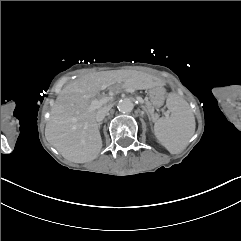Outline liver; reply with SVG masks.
Wrapping results in <instances>:
<instances>
[{"label": "liver", "instance_id": "1", "mask_svg": "<svg viewBox=\"0 0 241 241\" xmlns=\"http://www.w3.org/2000/svg\"><path fill=\"white\" fill-rule=\"evenodd\" d=\"M128 74L130 72H95L84 75L63 88L52 107L45 137L65 159L74 163H86L96 159L102 148L96 113L104 107L92 109L91 102L100 90L109 86L111 89L120 87ZM138 80L146 81L147 86H132L135 89L156 85L148 77Z\"/></svg>", "mask_w": 241, "mask_h": 241}]
</instances>
